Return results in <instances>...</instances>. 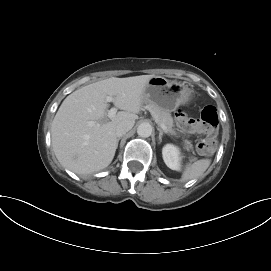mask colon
Here are the masks:
<instances>
[{"label": "colon", "instance_id": "obj_1", "mask_svg": "<svg viewBox=\"0 0 271 271\" xmlns=\"http://www.w3.org/2000/svg\"><path fill=\"white\" fill-rule=\"evenodd\" d=\"M175 120L184 132L205 134L204 138L197 144L200 154L210 155L214 152L217 145L216 134L218 130V113L215 107H204L198 119L190 118L184 111H178Z\"/></svg>", "mask_w": 271, "mask_h": 271}]
</instances>
